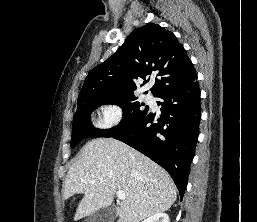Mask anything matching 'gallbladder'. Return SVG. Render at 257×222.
<instances>
[{"label":"gallbladder","mask_w":257,"mask_h":222,"mask_svg":"<svg viewBox=\"0 0 257 222\" xmlns=\"http://www.w3.org/2000/svg\"><path fill=\"white\" fill-rule=\"evenodd\" d=\"M116 219V209L114 206L101 208L89 215L85 222H114Z\"/></svg>","instance_id":"bac80fb5"}]
</instances>
